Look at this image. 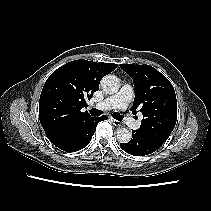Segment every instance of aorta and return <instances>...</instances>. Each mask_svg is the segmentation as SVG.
<instances>
[{"instance_id":"aorta-1","label":"aorta","mask_w":211,"mask_h":211,"mask_svg":"<svg viewBox=\"0 0 211 211\" xmlns=\"http://www.w3.org/2000/svg\"><path fill=\"white\" fill-rule=\"evenodd\" d=\"M101 88L106 94H114L120 88L119 78L115 75H106L101 80ZM117 140L121 143H128L132 138V133L127 128H119L116 131Z\"/></svg>"}]
</instances>
